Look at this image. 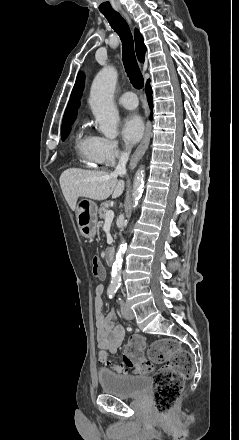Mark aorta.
<instances>
[{
	"instance_id": "aorta-1",
	"label": "aorta",
	"mask_w": 239,
	"mask_h": 440,
	"mask_svg": "<svg viewBox=\"0 0 239 440\" xmlns=\"http://www.w3.org/2000/svg\"><path fill=\"white\" fill-rule=\"evenodd\" d=\"M117 80V70L113 66H105L95 76L89 98L91 110L99 124L98 130L109 140H115L118 136L119 112L113 104ZM144 176L143 168H139L133 182L132 208H137L139 204L143 192ZM126 250L127 244L125 240H122L112 266L111 284L114 288L121 286V270Z\"/></svg>"
}]
</instances>
